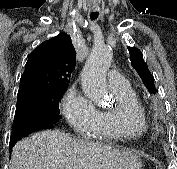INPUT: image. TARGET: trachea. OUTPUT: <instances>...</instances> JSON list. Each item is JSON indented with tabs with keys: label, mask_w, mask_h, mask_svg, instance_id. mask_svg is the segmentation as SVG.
<instances>
[{
	"label": "trachea",
	"mask_w": 177,
	"mask_h": 169,
	"mask_svg": "<svg viewBox=\"0 0 177 169\" xmlns=\"http://www.w3.org/2000/svg\"><path fill=\"white\" fill-rule=\"evenodd\" d=\"M97 16H98L97 12H92V13L90 14V19H91V20H95V19L97 18Z\"/></svg>",
	"instance_id": "obj_1"
}]
</instances>
